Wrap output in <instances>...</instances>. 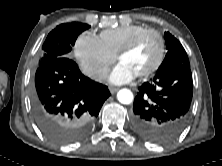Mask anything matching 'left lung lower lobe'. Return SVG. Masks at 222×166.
Masks as SVG:
<instances>
[{
    "label": "left lung lower lobe",
    "mask_w": 222,
    "mask_h": 166,
    "mask_svg": "<svg viewBox=\"0 0 222 166\" xmlns=\"http://www.w3.org/2000/svg\"><path fill=\"white\" fill-rule=\"evenodd\" d=\"M192 88L190 68L156 73L138 88L132 118L135 131L152 143L173 141L188 122Z\"/></svg>",
    "instance_id": "obj_1"
}]
</instances>
